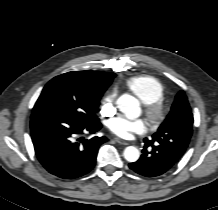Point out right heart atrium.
I'll return each mask as SVG.
<instances>
[{
    "instance_id": "obj_1",
    "label": "right heart atrium",
    "mask_w": 218,
    "mask_h": 210,
    "mask_svg": "<svg viewBox=\"0 0 218 210\" xmlns=\"http://www.w3.org/2000/svg\"><path fill=\"white\" fill-rule=\"evenodd\" d=\"M116 96L114 93H109L103 100L102 112L110 115L115 108Z\"/></svg>"
}]
</instances>
